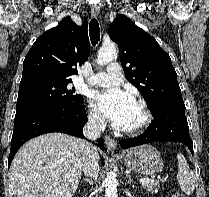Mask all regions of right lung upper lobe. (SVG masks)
<instances>
[{
    "label": "right lung upper lobe",
    "instance_id": "1",
    "mask_svg": "<svg viewBox=\"0 0 209 197\" xmlns=\"http://www.w3.org/2000/svg\"><path fill=\"white\" fill-rule=\"evenodd\" d=\"M90 51L87 20L76 25L70 17L42 34L23 62L20 84L38 80H71Z\"/></svg>",
    "mask_w": 209,
    "mask_h": 197
}]
</instances>
